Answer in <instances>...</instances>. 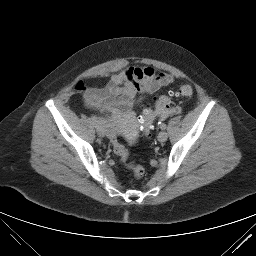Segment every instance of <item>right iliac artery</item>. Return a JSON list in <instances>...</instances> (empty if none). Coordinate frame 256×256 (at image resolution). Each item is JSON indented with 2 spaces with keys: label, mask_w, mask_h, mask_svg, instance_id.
Listing matches in <instances>:
<instances>
[{
  "label": "right iliac artery",
  "mask_w": 256,
  "mask_h": 256,
  "mask_svg": "<svg viewBox=\"0 0 256 256\" xmlns=\"http://www.w3.org/2000/svg\"><path fill=\"white\" fill-rule=\"evenodd\" d=\"M90 119L94 127H99L100 122L98 121L97 117L92 115Z\"/></svg>",
  "instance_id": "82829eb1"
}]
</instances>
